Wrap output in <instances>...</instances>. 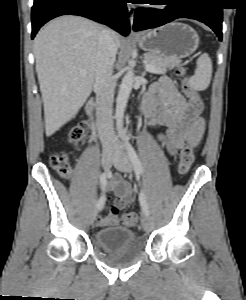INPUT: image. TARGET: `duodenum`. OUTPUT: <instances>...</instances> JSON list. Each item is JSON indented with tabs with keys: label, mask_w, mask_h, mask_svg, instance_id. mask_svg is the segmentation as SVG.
Listing matches in <instances>:
<instances>
[{
	"label": "duodenum",
	"mask_w": 246,
	"mask_h": 300,
	"mask_svg": "<svg viewBox=\"0 0 246 300\" xmlns=\"http://www.w3.org/2000/svg\"><path fill=\"white\" fill-rule=\"evenodd\" d=\"M88 114L93 120H99L103 114V108L97 102L92 101L87 108Z\"/></svg>",
	"instance_id": "obj_1"
}]
</instances>
